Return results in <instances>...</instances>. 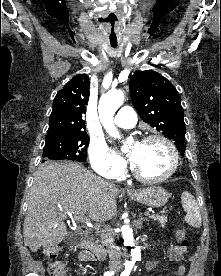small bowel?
<instances>
[{"instance_id":"small-bowel-1","label":"small bowel","mask_w":221,"mask_h":276,"mask_svg":"<svg viewBox=\"0 0 221 276\" xmlns=\"http://www.w3.org/2000/svg\"><path fill=\"white\" fill-rule=\"evenodd\" d=\"M187 256V250L186 248H182L180 246H173L169 249L168 251V258L170 261L177 263V267L174 271L176 276H182L184 275L186 268L185 265L183 264L184 259ZM79 259L81 261H93L94 258L86 253L81 251L78 255ZM157 264V261H149L146 265V270L150 271L152 270Z\"/></svg>"}]
</instances>
